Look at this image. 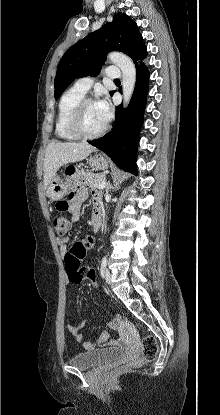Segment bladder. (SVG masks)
<instances>
[{"instance_id":"1","label":"bladder","mask_w":220,"mask_h":415,"mask_svg":"<svg viewBox=\"0 0 220 415\" xmlns=\"http://www.w3.org/2000/svg\"><path fill=\"white\" fill-rule=\"evenodd\" d=\"M125 353L122 347L85 351L70 359V365L79 369H90L120 359Z\"/></svg>"}]
</instances>
